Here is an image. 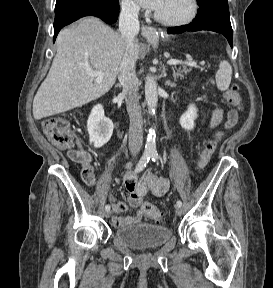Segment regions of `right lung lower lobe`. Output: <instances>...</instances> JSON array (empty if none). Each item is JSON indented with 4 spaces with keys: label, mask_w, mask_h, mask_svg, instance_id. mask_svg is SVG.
Wrapping results in <instances>:
<instances>
[{
    "label": "right lung lower lobe",
    "mask_w": 273,
    "mask_h": 288,
    "mask_svg": "<svg viewBox=\"0 0 273 288\" xmlns=\"http://www.w3.org/2000/svg\"><path fill=\"white\" fill-rule=\"evenodd\" d=\"M119 14V5L117 8H105L98 5L71 6L62 7L55 11L54 20V42L59 31L66 25L84 16H96L106 23L116 22Z\"/></svg>",
    "instance_id": "98d812e1"
}]
</instances>
